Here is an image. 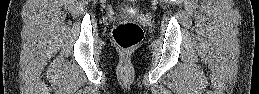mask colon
<instances>
[{
	"mask_svg": "<svg viewBox=\"0 0 259 94\" xmlns=\"http://www.w3.org/2000/svg\"><path fill=\"white\" fill-rule=\"evenodd\" d=\"M113 40L123 51L134 49L143 38L142 28L135 22L122 21L112 31Z\"/></svg>",
	"mask_w": 259,
	"mask_h": 94,
	"instance_id": "colon-1",
	"label": "colon"
}]
</instances>
